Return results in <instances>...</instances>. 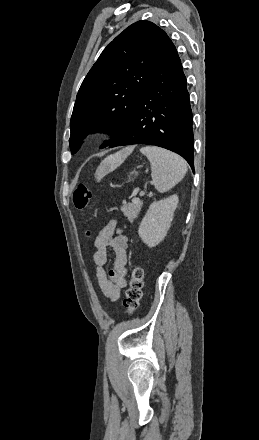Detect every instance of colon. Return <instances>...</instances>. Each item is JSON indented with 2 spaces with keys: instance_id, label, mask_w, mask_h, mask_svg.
I'll return each mask as SVG.
<instances>
[{
  "instance_id": "obj_1",
  "label": "colon",
  "mask_w": 259,
  "mask_h": 440,
  "mask_svg": "<svg viewBox=\"0 0 259 440\" xmlns=\"http://www.w3.org/2000/svg\"><path fill=\"white\" fill-rule=\"evenodd\" d=\"M92 198L91 191L85 184L75 186L72 193V201L76 209L83 211ZM89 234V232H88ZM144 273L142 268L136 266L131 272L129 287L126 290L123 305L127 313L132 314L140 305L142 298Z\"/></svg>"
}]
</instances>
